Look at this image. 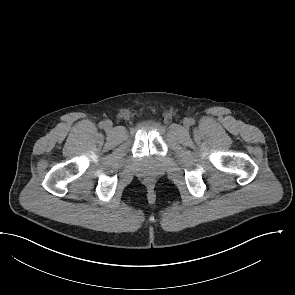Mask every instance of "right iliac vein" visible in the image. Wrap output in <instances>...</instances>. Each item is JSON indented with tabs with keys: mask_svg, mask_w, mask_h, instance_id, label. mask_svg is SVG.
Listing matches in <instances>:
<instances>
[{
	"mask_svg": "<svg viewBox=\"0 0 295 295\" xmlns=\"http://www.w3.org/2000/svg\"><path fill=\"white\" fill-rule=\"evenodd\" d=\"M113 126V123L110 121V120H107L104 122V127L107 129V130H110Z\"/></svg>",
	"mask_w": 295,
	"mask_h": 295,
	"instance_id": "obj_1",
	"label": "right iliac vein"
}]
</instances>
